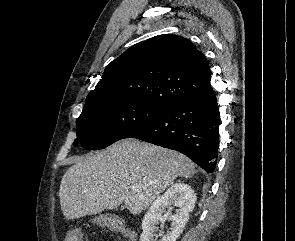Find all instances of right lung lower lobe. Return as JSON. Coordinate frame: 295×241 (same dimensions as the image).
I'll list each match as a JSON object with an SVG mask.
<instances>
[{"mask_svg": "<svg viewBox=\"0 0 295 241\" xmlns=\"http://www.w3.org/2000/svg\"><path fill=\"white\" fill-rule=\"evenodd\" d=\"M219 125L216 94L210 88L169 104L154 119L123 138H138L177 150L206 171L213 172L218 157Z\"/></svg>", "mask_w": 295, "mask_h": 241, "instance_id": "right-lung-lower-lobe-1", "label": "right lung lower lobe"}]
</instances>
